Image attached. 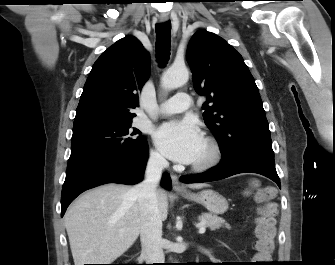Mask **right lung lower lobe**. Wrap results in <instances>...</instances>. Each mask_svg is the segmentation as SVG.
I'll use <instances>...</instances> for the list:
<instances>
[{"mask_svg":"<svg viewBox=\"0 0 335 265\" xmlns=\"http://www.w3.org/2000/svg\"><path fill=\"white\" fill-rule=\"evenodd\" d=\"M148 159V145L132 155H88L68 161L62 187L61 216L68 205L82 192L106 183L136 184L143 179ZM171 188V178L165 174L161 181Z\"/></svg>","mask_w":335,"mask_h":265,"instance_id":"obj_1","label":"right lung lower lobe"}]
</instances>
